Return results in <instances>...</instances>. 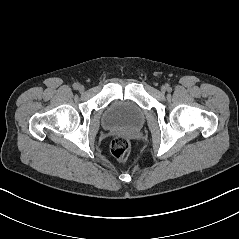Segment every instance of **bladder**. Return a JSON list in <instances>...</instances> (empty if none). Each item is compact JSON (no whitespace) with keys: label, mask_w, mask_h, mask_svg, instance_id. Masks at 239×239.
Returning <instances> with one entry per match:
<instances>
[{"label":"bladder","mask_w":239,"mask_h":239,"mask_svg":"<svg viewBox=\"0 0 239 239\" xmlns=\"http://www.w3.org/2000/svg\"><path fill=\"white\" fill-rule=\"evenodd\" d=\"M106 128L140 129L145 122L144 111L129 100L113 101L104 112L102 118Z\"/></svg>","instance_id":"bladder-1"}]
</instances>
